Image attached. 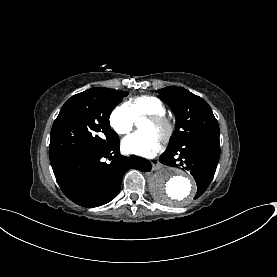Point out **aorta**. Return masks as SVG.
Instances as JSON below:
<instances>
[{
    "label": "aorta",
    "mask_w": 277,
    "mask_h": 277,
    "mask_svg": "<svg viewBox=\"0 0 277 277\" xmlns=\"http://www.w3.org/2000/svg\"><path fill=\"white\" fill-rule=\"evenodd\" d=\"M153 196L165 205H184L189 203L196 192L194 180L184 171L163 168L151 179Z\"/></svg>",
    "instance_id": "aorta-1"
}]
</instances>
